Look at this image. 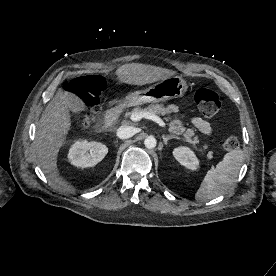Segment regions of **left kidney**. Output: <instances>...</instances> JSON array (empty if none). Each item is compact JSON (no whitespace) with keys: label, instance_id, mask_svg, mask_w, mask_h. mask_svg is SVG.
<instances>
[{"label":"left kidney","instance_id":"5707ae66","mask_svg":"<svg viewBox=\"0 0 276 276\" xmlns=\"http://www.w3.org/2000/svg\"><path fill=\"white\" fill-rule=\"evenodd\" d=\"M175 159L190 170H196L199 167V161L194 152L188 147H178L173 151Z\"/></svg>","mask_w":276,"mask_h":276}]
</instances>
